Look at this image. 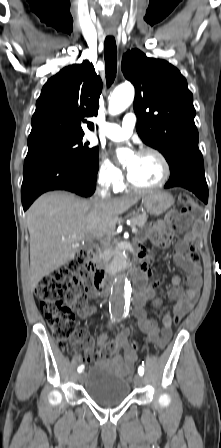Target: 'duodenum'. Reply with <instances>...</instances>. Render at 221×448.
Instances as JSON below:
<instances>
[{
	"label": "duodenum",
	"mask_w": 221,
	"mask_h": 448,
	"mask_svg": "<svg viewBox=\"0 0 221 448\" xmlns=\"http://www.w3.org/2000/svg\"><path fill=\"white\" fill-rule=\"evenodd\" d=\"M144 254L141 255L143 257ZM141 264L137 263L136 269L134 271V281L137 284V286L142 285L143 278L141 273ZM88 269L91 273L92 280L90 283V289L93 291L94 294L105 297L109 294L112 279L109 273H107L98 263L94 252L89 253V263H88Z\"/></svg>",
	"instance_id": "obj_1"
}]
</instances>
